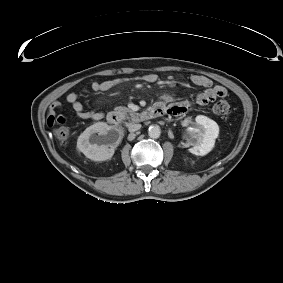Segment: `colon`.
Instances as JSON below:
<instances>
[{
    "label": "colon",
    "mask_w": 283,
    "mask_h": 283,
    "mask_svg": "<svg viewBox=\"0 0 283 283\" xmlns=\"http://www.w3.org/2000/svg\"><path fill=\"white\" fill-rule=\"evenodd\" d=\"M213 112L217 116H227L231 112L230 104L226 100H219L213 105ZM60 123L62 125L55 129V136L60 142L66 143L70 137V129L65 122Z\"/></svg>",
    "instance_id": "5ec220e1"
}]
</instances>
